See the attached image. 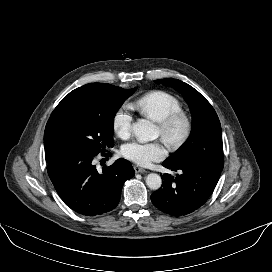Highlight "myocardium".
<instances>
[{"label": "myocardium", "mask_w": 272, "mask_h": 272, "mask_svg": "<svg viewBox=\"0 0 272 272\" xmlns=\"http://www.w3.org/2000/svg\"><path fill=\"white\" fill-rule=\"evenodd\" d=\"M158 123L161 136L171 149L183 145L192 132L191 118L181 110L169 114Z\"/></svg>", "instance_id": "myocardium-1"}]
</instances>
